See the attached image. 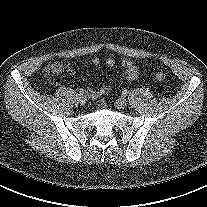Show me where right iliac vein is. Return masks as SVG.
<instances>
[{
  "mask_svg": "<svg viewBox=\"0 0 207 207\" xmlns=\"http://www.w3.org/2000/svg\"><path fill=\"white\" fill-rule=\"evenodd\" d=\"M78 100H79V103L81 104V105H84L85 103H86V96L85 95H79L78 96Z\"/></svg>",
  "mask_w": 207,
  "mask_h": 207,
  "instance_id": "obj_1",
  "label": "right iliac vein"
}]
</instances>
